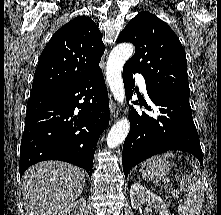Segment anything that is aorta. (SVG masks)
<instances>
[{"label":"aorta","mask_w":221,"mask_h":215,"mask_svg":"<svg viewBox=\"0 0 221 215\" xmlns=\"http://www.w3.org/2000/svg\"><path fill=\"white\" fill-rule=\"evenodd\" d=\"M134 47L130 43L115 46L109 54L106 66V79L114 98L121 104L125 101V91L122 80V69L125 62L133 55ZM130 129L127 118L116 122L107 136V146L115 148L126 138Z\"/></svg>","instance_id":"1"}]
</instances>
